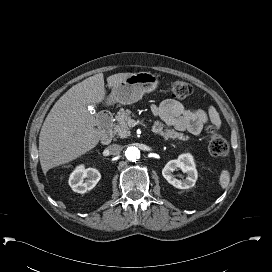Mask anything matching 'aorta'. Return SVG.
<instances>
[{"label": "aorta", "instance_id": "obj_1", "mask_svg": "<svg viewBox=\"0 0 272 272\" xmlns=\"http://www.w3.org/2000/svg\"><path fill=\"white\" fill-rule=\"evenodd\" d=\"M125 156L129 161L135 162L140 158V151L134 146H130L125 151Z\"/></svg>", "mask_w": 272, "mask_h": 272}]
</instances>
